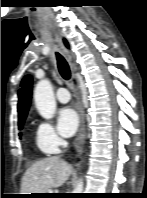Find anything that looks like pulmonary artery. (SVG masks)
I'll use <instances>...</instances> for the list:
<instances>
[{
    "instance_id": "1",
    "label": "pulmonary artery",
    "mask_w": 147,
    "mask_h": 198,
    "mask_svg": "<svg viewBox=\"0 0 147 198\" xmlns=\"http://www.w3.org/2000/svg\"><path fill=\"white\" fill-rule=\"evenodd\" d=\"M56 98L60 103H67L70 101L71 96L66 88L61 87L56 92Z\"/></svg>"
}]
</instances>
